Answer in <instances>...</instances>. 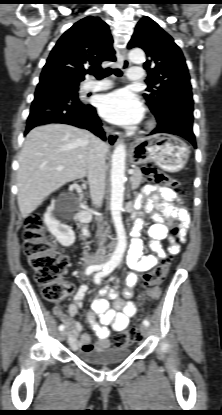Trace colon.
I'll list each match as a JSON object with an SVG mask.
<instances>
[{
  "mask_svg": "<svg viewBox=\"0 0 222 415\" xmlns=\"http://www.w3.org/2000/svg\"><path fill=\"white\" fill-rule=\"evenodd\" d=\"M145 174L157 184L180 191V183L177 179L154 167L146 168ZM180 231L178 226L172 229L175 236L179 235ZM24 252L35 271L36 281L43 287L45 299L51 302L62 301L72 289L69 284L61 280V273L68 264V258L57 252L56 244L47 237L42 217L39 214H31L25 220ZM169 267L170 261L164 259L151 271L144 274L142 287L146 290V299L158 298V286L165 278ZM138 339V330L134 328L120 334L116 344L119 346L129 345Z\"/></svg>",
  "mask_w": 222,
  "mask_h": 415,
  "instance_id": "5ec220e1",
  "label": "colon"
}]
</instances>
